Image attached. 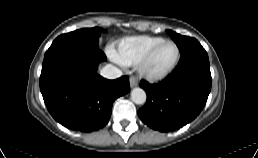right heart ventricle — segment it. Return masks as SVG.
<instances>
[{
	"instance_id": "obj_1",
	"label": "right heart ventricle",
	"mask_w": 258,
	"mask_h": 158,
	"mask_svg": "<svg viewBox=\"0 0 258 158\" xmlns=\"http://www.w3.org/2000/svg\"><path fill=\"white\" fill-rule=\"evenodd\" d=\"M160 37L140 36L121 41L113 51L118 63L133 66L140 63L147 52L162 41Z\"/></svg>"
}]
</instances>
